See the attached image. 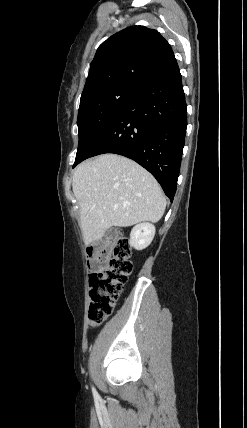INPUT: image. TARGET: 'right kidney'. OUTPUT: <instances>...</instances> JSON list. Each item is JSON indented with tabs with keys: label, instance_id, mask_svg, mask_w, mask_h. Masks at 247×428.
Returning a JSON list of instances; mask_svg holds the SVG:
<instances>
[{
	"label": "right kidney",
	"instance_id": "ca27d5eb",
	"mask_svg": "<svg viewBox=\"0 0 247 428\" xmlns=\"http://www.w3.org/2000/svg\"><path fill=\"white\" fill-rule=\"evenodd\" d=\"M155 235V226L149 223L136 225L131 233L129 244L131 247L142 250L148 247Z\"/></svg>",
	"mask_w": 247,
	"mask_h": 428
}]
</instances>
